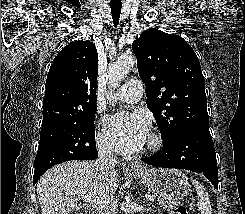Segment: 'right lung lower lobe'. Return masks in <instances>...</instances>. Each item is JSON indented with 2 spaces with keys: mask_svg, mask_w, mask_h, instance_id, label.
Returning <instances> with one entry per match:
<instances>
[{
  "mask_svg": "<svg viewBox=\"0 0 245 214\" xmlns=\"http://www.w3.org/2000/svg\"><path fill=\"white\" fill-rule=\"evenodd\" d=\"M90 154H91V157H92L90 160H94V159H96V158L98 157V152H97V150H96V147H94V148L92 149V151L90 152ZM44 172H45V171L35 172V173H34L33 184H35V183L39 180L40 176H41Z\"/></svg>",
  "mask_w": 245,
  "mask_h": 214,
  "instance_id": "1",
  "label": "right lung lower lobe"
}]
</instances>
